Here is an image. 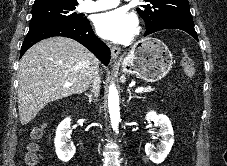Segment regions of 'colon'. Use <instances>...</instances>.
Segmentation results:
<instances>
[{"instance_id":"5ec220e1","label":"colon","mask_w":227,"mask_h":166,"mask_svg":"<svg viewBox=\"0 0 227 166\" xmlns=\"http://www.w3.org/2000/svg\"><path fill=\"white\" fill-rule=\"evenodd\" d=\"M180 64L183 67L185 73L187 75H192L194 73V65H193V61L192 58L187 54L184 53L181 58H180ZM34 136L37 137L38 136V132H34ZM34 146L31 147V152L28 156V162L30 164H35L36 162V157L34 155Z\"/></svg>"}]
</instances>
